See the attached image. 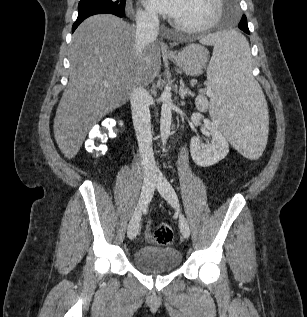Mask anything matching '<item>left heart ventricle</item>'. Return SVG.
<instances>
[{"label":"left heart ventricle","mask_w":307,"mask_h":317,"mask_svg":"<svg viewBox=\"0 0 307 317\" xmlns=\"http://www.w3.org/2000/svg\"><path fill=\"white\" fill-rule=\"evenodd\" d=\"M214 12L213 0H184L174 20L187 26L201 25L211 20Z\"/></svg>","instance_id":"left-heart-ventricle-1"}]
</instances>
